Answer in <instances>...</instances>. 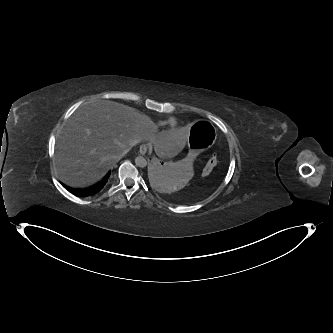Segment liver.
Returning <instances> with one entry per match:
<instances>
[{
	"label": "liver",
	"instance_id": "1",
	"mask_svg": "<svg viewBox=\"0 0 333 333\" xmlns=\"http://www.w3.org/2000/svg\"><path fill=\"white\" fill-rule=\"evenodd\" d=\"M156 125L135 108L96 100L78 108L64 125L56 144L55 171L68 186L84 188L102 179L122 153L149 140L157 154L171 159L188 146L186 131L154 135Z\"/></svg>",
	"mask_w": 333,
	"mask_h": 333
}]
</instances>
